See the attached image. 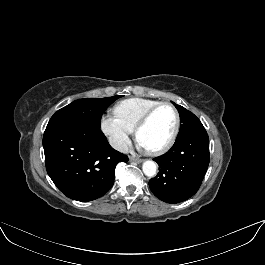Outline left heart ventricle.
Instances as JSON below:
<instances>
[{"label": "left heart ventricle", "mask_w": 265, "mask_h": 265, "mask_svg": "<svg viewBox=\"0 0 265 265\" xmlns=\"http://www.w3.org/2000/svg\"><path fill=\"white\" fill-rule=\"evenodd\" d=\"M175 124V116L169 107L159 109L149 122L139 131L138 139L147 149L163 145L170 137Z\"/></svg>", "instance_id": "1"}]
</instances>
